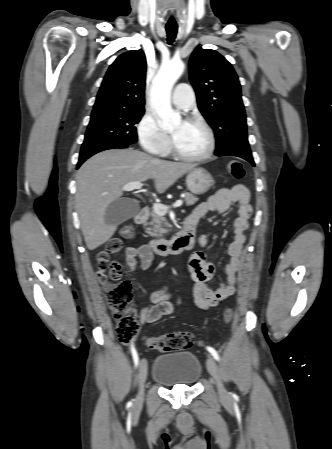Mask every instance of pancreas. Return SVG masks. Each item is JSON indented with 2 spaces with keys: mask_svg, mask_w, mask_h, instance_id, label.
Returning a JSON list of instances; mask_svg holds the SVG:
<instances>
[{
  "mask_svg": "<svg viewBox=\"0 0 332 449\" xmlns=\"http://www.w3.org/2000/svg\"><path fill=\"white\" fill-rule=\"evenodd\" d=\"M198 198L190 193H185V202L187 206L195 204ZM151 221L146 222V233L152 237H162L169 231V223L163 215L157 214L154 210L150 213Z\"/></svg>",
  "mask_w": 332,
  "mask_h": 449,
  "instance_id": "1",
  "label": "pancreas"
}]
</instances>
